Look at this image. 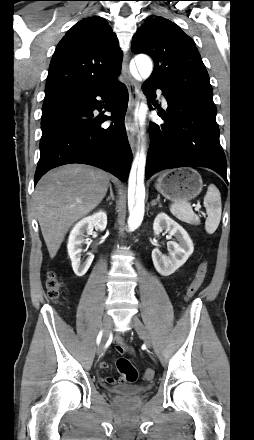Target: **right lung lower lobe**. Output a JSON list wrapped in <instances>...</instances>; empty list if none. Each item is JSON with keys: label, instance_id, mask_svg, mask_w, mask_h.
<instances>
[{"label": "right lung lower lobe", "instance_id": "obj_1", "mask_svg": "<svg viewBox=\"0 0 254 440\" xmlns=\"http://www.w3.org/2000/svg\"><path fill=\"white\" fill-rule=\"evenodd\" d=\"M58 97L54 108L42 116L34 186L50 169L71 163L92 165L127 181L133 156L124 125L126 86L119 82L113 86L81 87ZM102 107H108L112 116L94 117L93 111ZM107 120H113V124L100 127Z\"/></svg>", "mask_w": 254, "mask_h": 440}]
</instances>
